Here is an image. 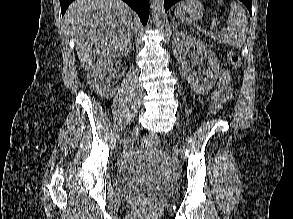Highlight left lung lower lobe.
Here are the masks:
<instances>
[{"label":"left lung lower lobe","instance_id":"obj_1","mask_svg":"<svg viewBox=\"0 0 293 219\" xmlns=\"http://www.w3.org/2000/svg\"><path fill=\"white\" fill-rule=\"evenodd\" d=\"M180 0H164V8H165V12L172 6L174 5L176 2H178ZM241 2H243L245 4V6L247 7V9L249 10V13L251 14V5H252V0H240Z\"/></svg>","mask_w":293,"mask_h":219}]
</instances>
